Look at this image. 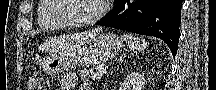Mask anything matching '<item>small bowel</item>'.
<instances>
[{"label": "small bowel", "mask_w": 216, "mask_h": 90, "mask_svg": "<svg viewBox=\"0 0 216 90\" xmlns=\"http://www.w3.org/2000/svg\"><path fill=\"white\" fill-rule=\"evenodd\" d=\"M78 83V77L74 72H67L62 76L61 86L59 90H73V88ZM80 90H92L91 87L83 83L80 87Z\"/></svg>", "instance_id": "small-bowel-1"}]
</instances>
